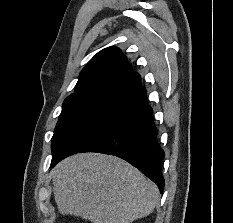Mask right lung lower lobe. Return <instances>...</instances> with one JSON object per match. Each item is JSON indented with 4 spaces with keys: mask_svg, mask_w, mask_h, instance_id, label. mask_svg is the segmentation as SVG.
<instances>
[{
    "mask_svg": "<svg viewBox=\"0 0 233 223\" xmlns=\"http://www.w3.org/2000/svg\"><path fill=\"white\" fill-rule=\"evenodd\" d=\"M123 97V111L78 152L118 156L142 171L156 183L162 193V160L165 154L157 142V130L153 123L152 109L146 100L145 88L141 84L130 88L123 93ZM52 154V167L71 155Z\"/></svg>",
    "mask_w": 233,
    "mask_h": 223,
    "instance_id": "obj_1",
    "label": "right lung lower lobe"
}]
</instances>
